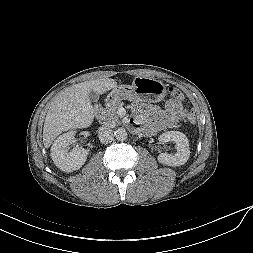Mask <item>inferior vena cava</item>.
Wrapping results in <instances>:
<instances>
[{"instance_id":"602c4592","label":"inferior vena cava","mask_w":253,"mask_h":253,"mask_svg":"<svg viewBox=\"0 0 253 253\" xmlns=\"http://www.w3.org/2000/svg\"><path fill=\"white\" fill-rule=\"evenodd\" d=\"M98 137L102 143H110L114 138L113 130L108 127H101L98 132Z\"/></svg>"}]
</instances>
